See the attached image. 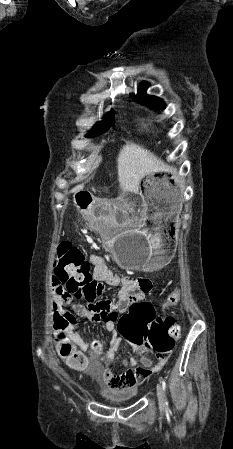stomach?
<instances>
[{
  "label": "stomach",
  "instance_id": "0dacf381",
  "mask_svg": "<svg viewBox=\"0 0 233 449\" xmlns=\"http://www.w3.org/2000/svg\"><path fill=\"white\" fill-rule=\"evenodd\" d=\"M145 206L144 223L133 201L93 202L91 210L78 206L93 228H102L104 248L124 269L156 271L173 258L178 237L181 185L167 175H147L140 185Z\"/></svg>",
  "mask_w": 233,
  "mask_h": 449
}]
</instances>
